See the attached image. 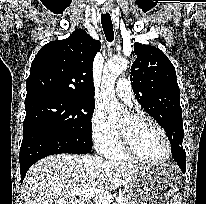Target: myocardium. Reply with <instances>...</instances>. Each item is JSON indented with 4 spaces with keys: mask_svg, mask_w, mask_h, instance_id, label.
Instances as JSON below:
<instances>
[{
    "mask_svg": "<svg viewBox=\"0 0 206 204\" xmlns=\"http://www.w3.org/2000/svg\"><path fill=\"white\" fill-rule=\"evenodd\" d=\"M129 116H130L132 123L148 122L149 124L154 126L161 133V135L163 136L165 140L166 147H167V153L165 157L159 160H151V159L144 157L136 149L130 133L118 127L120 140H121L124 150L135 160H138V161H141L147 164L159 165V164H163L167 162L172 156V144H171L170 138L167 132L165 131V129L157 121H155L153 118H151L148 115H145L142 113H131Z\"/></svg>",
    "mask_w": 206,
    "mask_h": 204,
    "instance_id": "myocardium-1",
    "label": "myocardium"
}]
</instances>
